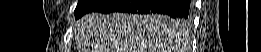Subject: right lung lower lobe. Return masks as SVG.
I'll use <instances>...</instances> for the list:
<instances>
[{"label":"right lung lower lobe","mask_w":261,"mask_h":52,"mask_svg":"<svg viewBox=\"0 0 261 52\" xmlns=\"http://www.w3.org/2000/svg\"><path fill=\"white\" fill-rule=\"evenodd\" d=\"M190 7V0H105L91 12L157 13L173 18L188 19Z\"/></svg>","instance_id":"right-lung-lower-lobe-1"}]
</instances>
